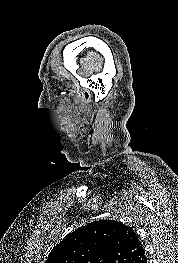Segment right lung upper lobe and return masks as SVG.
<instances>
[{
  "label": "right lung upper lobe",
  "mask_w": 178,
  "mask_h": 263,
  "mask_svg": "<svg viewBox=\"0 0 178 263\" xmlns=\"http://www.w3.org/2000/svg\"><path fill=\"white\" fill-rule=\"evenodd\" d=\"M45 263H147V257L133 229L116 220H100L68 234Z\"/></svg>",
  "instance_id": "cb5924a9"
}]
</instances>
